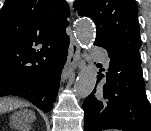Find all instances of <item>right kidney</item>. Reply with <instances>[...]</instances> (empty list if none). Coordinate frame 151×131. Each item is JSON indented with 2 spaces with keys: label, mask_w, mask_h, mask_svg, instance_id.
Here are the masks:
<instances>
[{
  "label": "right kidney",
  "mask_w": 151,
  "mask_h": 131,
  "mask_svg": "<svg viewBox=\"0 0 151 131\" xmlns=\"http://www.w3.org/2000/svg\"><path fill=\"white\" fill-rule=\"evenodd\" d=\"M11 124L14 128H20L21 126L22 128H25L24 122L22 120H18L17 118H14Z\"/></svg>",
  "instance_id": "obj_1"
}]
</instances>
